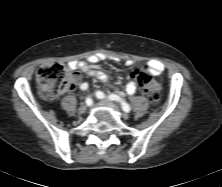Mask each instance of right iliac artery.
Returning a JSON list of instances; mask_svg holds the SVG:
<instances>
[{"mask_svg":"<svg viewBox=\"0 0 222 187\" xmlns=\"http://www.w3.org/2000/svg\"><path fill=\"white\" fill-rule=\"evenodd\" d=\"M92 103H93V101H92L91 98H87V99H86V104H87L88 106H91Z\"/></svg>","mask_w":222,"mask_h":187,"instance_id":"right-iliac-artery-1","label":"right iliac artery"}]
</instances>
